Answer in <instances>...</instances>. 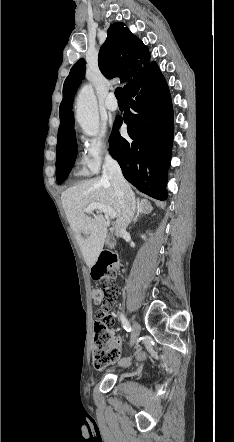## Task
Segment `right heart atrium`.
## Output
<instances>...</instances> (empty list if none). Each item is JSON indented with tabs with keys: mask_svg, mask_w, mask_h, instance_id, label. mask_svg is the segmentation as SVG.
<instances>
[{
	"mask_svg": "<svg viewBox=\"0 0 234 442\" xmlns=\"http://www.w3.org/2000/svg\"><path fill=\"white\" fill-rule=\"evenodd\" d=\"M113 146L105 133L84 139L85 161L92 173L100 170L102 164L111 158Z\"/></svg>",
	"mask_w": 234,
	"mask_h": 442,
	"instance_id": "d8ad5b80",
	"label": "right heart atrium"
}]
</instances>
